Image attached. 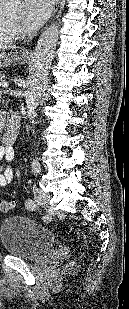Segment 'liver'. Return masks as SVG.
<instances>
[{
    "instance_id": "obj_1",
    "label": "liver",
    "mask_w": 129,
    "mask_h": 309,
    "mask_svg": "<svg viewBox=\"0 0 129 309\" xmlns=\"http://www.w3.org/2000/svg\"><path fill=\"white\" fill-rule=\"evenodd\" d=\"M12 48H13V46H11V45L0 43V51H5V50H8V49H12Z\"/></svg>"
}]
</instances>
